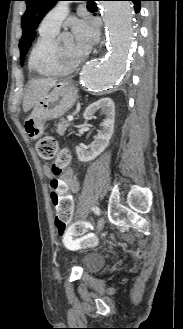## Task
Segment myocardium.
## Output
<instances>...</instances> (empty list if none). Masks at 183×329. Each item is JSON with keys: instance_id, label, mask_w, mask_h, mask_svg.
<instances>
[{"instance_id": "obj_1", "label": "myocardium", "mask_w": 183, "mask_h": 329, "mask_svg": "<svg viewBox=\"0 0 183 329\" xmlns=\"http://www.w3.org/2000/svg\"><path fill=\"white\" fill-rule=\"evenodd\" d=\"M88 56L85 54L83 58L80 60L71 63L65 64L64 54L60 48V45L55 46L54 50V64L56 70L60 75H67L73 73L74 71L78 70L87 60Z\"/></svg>"}]
</instances>
